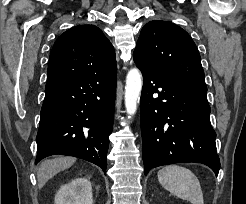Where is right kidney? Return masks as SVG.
I'll list each match as a JSON object with an SVG mask.
<instances>
[{
  "label": "right kidney",
  "mask_w": 246,
  "mask_h": 204,
  "mask_svg": "<svg viewBox=\"0 0 246 204\" xmlns=\"http://www.w3.org/2000/svg\"><path fill=\"white\" fill-rule=\"evenodd\" d=\"M92 186L86 178L63 185L55 195V204H93Z\"/></svg>",
  "instance_id": "1"
}]
</instances>
